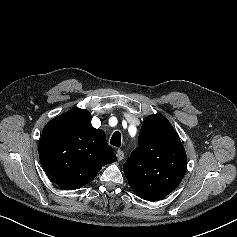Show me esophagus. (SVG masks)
Listing matches in <instances>:
<instances>
[{
  "instance_id": "34e87169",
  "label": "esophagus",
  "mask_w": 237,
  "mask_h": 237,
  "mask_svg": "<svg viewBox=\"0 0 237 237\" xmlns=\"http://www.w3.org/2000/svg\"><path fill=\"white\" fill-rule=\"evenodd\" d=\"M116 156H117L118 161H121L124 158V152L121 149H118L116 151Z\"/></svg>"
}]
</instances>
